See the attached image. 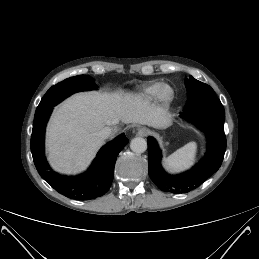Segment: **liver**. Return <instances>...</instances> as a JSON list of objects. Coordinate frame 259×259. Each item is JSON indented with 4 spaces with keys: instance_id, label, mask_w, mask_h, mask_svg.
Listing matches in <instances>:
<instances>
[{
    "instance_id": "liver-1",
    "label": "liver",
    "mask_w": 259,
    "mask_h": 259,
    "mask_svg": "<svg viewBox=\"0 0 259 259\" xmlns=\"http://www.w3.org/2000/svg\"><path fill=\"white\" fill-rule=\"evenodd\" d=\"M120 121L161 129L170 125L171 118L166 109L138 94L78 93L56 109L48 124L46 144L52 168L64 174L85 170L104 143L96 133L106 126L116 131Z\"/></svg>"
}]
</instances>
